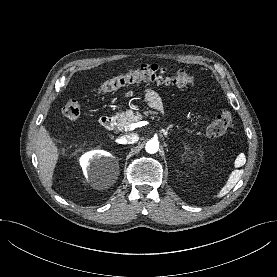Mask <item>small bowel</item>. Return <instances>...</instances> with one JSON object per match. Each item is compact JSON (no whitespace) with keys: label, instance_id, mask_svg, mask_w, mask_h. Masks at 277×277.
I'll return each mask as SVG.
<instances>
[{"label":"small bowel","instance_id":"1","mask_svg":"<svg viewBox=\"0 0 277 277\" xmlns=\"http://www.w3.org/2000/svg\"><path fill=\"white\" fill-rule=\"evenodd\" d=\"M131 94H132V92L129 91V92H127L125 94V96L128 97ZM144 95H145V98L148 101L149 105L153 109H155L157 111H162L163 110V105H162L161 98H160L159 94L155 90H153L151 88H147L144 91Z\"/></svg>","mask_w":277,"mask_h":277}]
</instances>
